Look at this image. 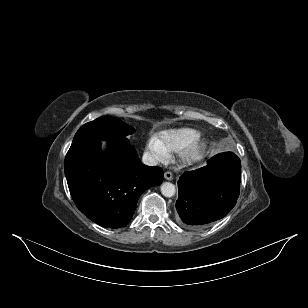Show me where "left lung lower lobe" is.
<instances>
[{
    "label": "left lung lower lobe",
    "mask_w": 308,
    "mask_h": 308,
    "mask_svg": "<svg viewBox=\"0 0 308 308\" xmlns=\"http://www.w3.org/2000/svg\"><path fill=\"white\" fill-rule=\"evenodd\" d=\"M240 178V159L232 152L217 154L206 166L185 172L178 181L179 223L200 228L225 217L236 204Z\"/></svg>",
    "instance_id": "1"
}]
</instances>
